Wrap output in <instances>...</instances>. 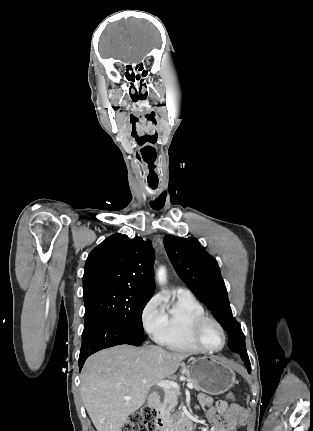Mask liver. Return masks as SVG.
<instances>
[{"instance_id":"obj_1","label":"liver","mask_w":313,"mask_h":431,"mask_svg":"<svg viewBox=\"0 0 313 431\" xmlns=\"http://www.w3.org/2000/svg\"><path fill=\"white\" fill-rule=\"evenodd\" d=\"M188 356L157 346L130 345L90 356L82 370L80 391L97 431H121L128 417L145 403L150 388L173 375Z\"/></svg>"}]
</instances>
